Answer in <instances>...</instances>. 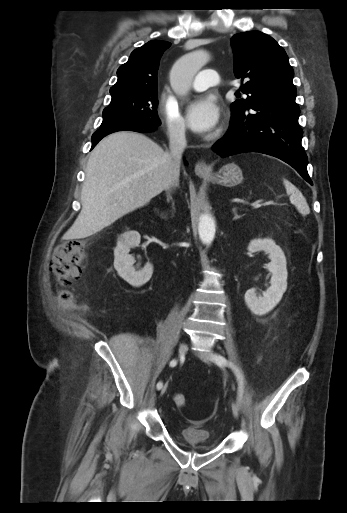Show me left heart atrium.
I'll return each instance as SVG.
<instances>
[{
	"label": "left heart atrium",
	"instance_id": "39dd6f15",
	"mask_svg": "<svg viewBox=\"0 0 347 513\" xmlns=\"http://www.w3.org/2000/svg\"><path fill=\"white\" fill-rule=\"evenodd\" d=\"M186 120L191 130L206 134L214 130L220 120V109L212 96L204 95L187 107Z\"/></svg>",
	"mask_w": 347,
	"mask_h": 513
}]
</instances>
